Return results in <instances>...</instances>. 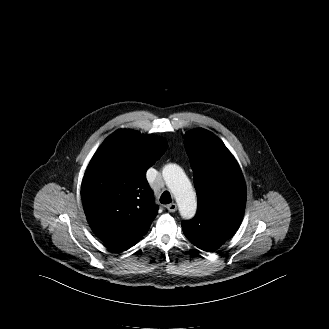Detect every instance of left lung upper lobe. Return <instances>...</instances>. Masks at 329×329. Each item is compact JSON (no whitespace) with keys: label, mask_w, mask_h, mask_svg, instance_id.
I'll list each match as a JSON object with an SVG mask.
<instances>
[{"label":"left lung upper lobe","mask_w":329,"mask_h":329,"mask_svg":"<svg viewBox=\"0 0 329 329\" xmlns=\"http://www.w3.org/2000/svg\"><path fill=\"white\" fill-rule=\"evenodd\" d=\"M194 172L198 209L191 221H183L185 236L193 242L231 236L242 221L246 186L241 169L224 143L205 129L184 136Z\"/></svg>","instance_id":"obj_1"}]
</instances>
